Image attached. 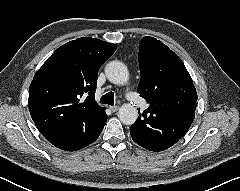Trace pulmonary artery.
<instances>
[{
	"label": "pulmonary artery",
	"instance_id": "pulmonary-artery-1",
	"mask_svg": "<svg viewBox=\"0 0 240 191\" xmlns=\"http://www.w3.org/2000/svg\"><path fill=\"white\" fill-rule=\"evenodd\" d=\"M128 98H129L130 102L132 103V105L139 106V104L141 102L140 97H138L137 95H134V94H128Z\"/></svg>",
	"mask_w": 240,
	"mask_h": 191
}]
</instances>
